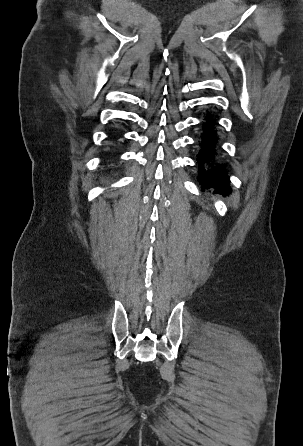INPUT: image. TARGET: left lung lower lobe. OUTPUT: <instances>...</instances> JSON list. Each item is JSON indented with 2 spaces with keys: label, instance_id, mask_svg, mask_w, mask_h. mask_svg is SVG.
<instances>
[{
  "label": "left lung lower lobe",
  "instance_id": "obj_1",
  "mask_svg": "<svg viewBox=\"0 0 303 446\" xmlns=\"http://www.w3.org/2000/svg\"><path fill=\"white\" fill-rule=\"evenodd\" d=\"M206 128L203 132L201 141V150L197 155L199 163L198 179L202 185V190L208 188H216L215 192L228 194L230 192L229 177L227 172L222 169L220 165L214 163L215 159V145L217 142V135L214 130V121L210 116L206 117Z\"/></svg>",
  "mask_w": 303,
  "mask_h": 446
}]
</instances>
